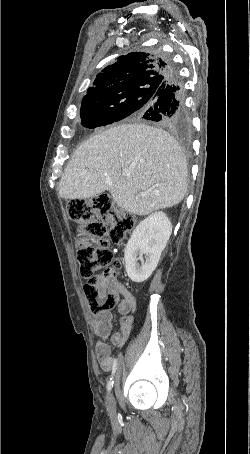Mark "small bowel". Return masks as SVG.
Instances as JSON below:
<instances>
[{
  "instance_id": "c3829d8e",
  "label": "small bowel",
  "mask_w": 250,
  "mask_h": 454,
  "mask_svg": "<svg viewBox=\"0 0 250 454\" xmlns=\"http://www.w3.org/2000/svg\"><path fill=\"white\" fill-rule=\"evenodd\" d=\"M119 293L121 299L118 302V311L122 315L118 331L111 335L112 314L107 311L98 314L94 320L95 334L98 338L95 346L96 358L104 371L111 369L114 359L111 346L122 347L126 343L134 323V312L136 310V300L132 293L124 286H120Z\"/></svg>"
}]
</instances>
